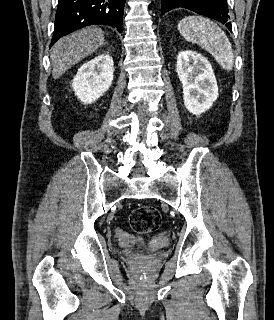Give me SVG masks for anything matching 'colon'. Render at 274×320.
Returning <instances> with one entry per match:
<instances>
[{
	"mask_svg": "<svg viewBox=\"0 0 274 320\" xmlns=\"http://www.w3.org/2000/svg\"><path fill=\"white\" fill-rule=\"evenodd\" d=\"M161 222L159 211L148 204L136 206L129 216L130 228L136 234H151Z\"/></svg>",
	"mask_w": 274,
	"mask_h": 320,
	"instance_id": "5ec220e1",
	"label": "colon"
}]
</instances>
